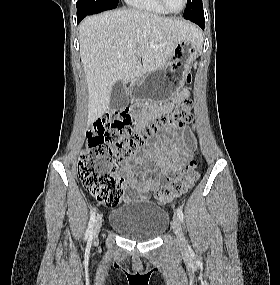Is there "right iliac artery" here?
Listing matches in <instances>:
<instances>
[{
    "label": "right iliac artery",
    "mask_w": 280,
    "mask_h": 285,
    "mask_svg": "<svg viewBox=\"0 0 280 285\" xmlns=\"http://www.w3.org/2000/svg\"><path fill=\"white\" fill-rule=\"evenodd\" d=\"M95 217H96V210H94L90 216L88 228L86 230L85 238L87 239L89 237V241L92 239V233H93V227L95 223Z\"/></svg>",
    "instance_id": "82829eb1"
}]
</instances>
